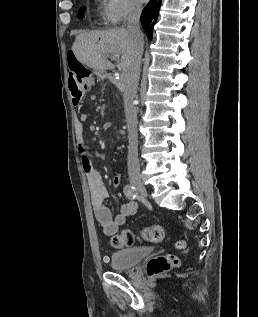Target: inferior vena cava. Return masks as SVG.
<instances>
[{
	"instance_id": "602c4592",
	"label": "inferior vena cava",
	"mask_w": 258,
	"mask_h": 317,
	"mask_svg": "<svg viewBox=\"0 0 258 317\" xmlns=\"http://www.w3.org/2000/svg\"><path fill=\"white\" fill-rule=\"evenodd\" d=\"M141 14V6L139 4H130L128 14L127 30L131 34L134 54L131 58V64L125 76L124 96L125 102V116L128 128V154L127 167L129 177L132 181L140 179V165L138 161V134H137V112L133 104L134 96L137 92L139 82L141 60L143 52V32L140 30L139 18Z\"/></svg>"
}]
</instances>
